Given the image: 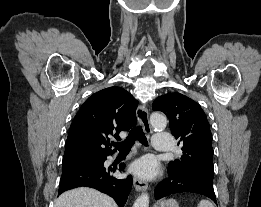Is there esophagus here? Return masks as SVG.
Segmentation results:
<instances>
[{"label":"esophagus","mask_w":261,"mask_h":207,"mask_svg":"<svg viewBox=\"0 0 261 207\" xmlns=\"http://www.w3.org/2000/svg\"><path fill=\"white\" fill-rule=\"evenodd\" d=\"M136 116L139 124L142 126L146 133H151V127L149 124V116L148 109L142 105L138 106L136 111ZM134 187L137 191H145L148 188V183L139 179L138 177H134L133 179Z\"/></svg>","instance_id":"esophagus-1"}]
</instances>
